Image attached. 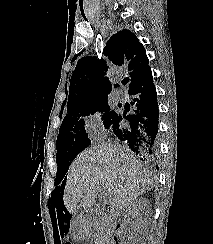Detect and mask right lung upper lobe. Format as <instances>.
<instances>
[{"mask_svg": "<svg viewBox=\"0 0 213 244\" xmlns=\"http://www.w3.org/2000/svg\"><path fill=\"white\" fill-rule=\"evenodd\" d=\"M104 53L114 65L124 66L130 77L131 89L150 69L143 45L131 31L117 32L106 43ZM108 64L94 56L82 57L73 71L69 86L67 109L84 105L102 97H108L112 86L104 77ZM118 87V84H115Z\"/></svg>", "mask_w": 213, "mask_h": 244, "instance_id": "obj_1", "label": "right lung upper lobe"}]
</instances>
